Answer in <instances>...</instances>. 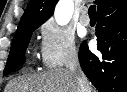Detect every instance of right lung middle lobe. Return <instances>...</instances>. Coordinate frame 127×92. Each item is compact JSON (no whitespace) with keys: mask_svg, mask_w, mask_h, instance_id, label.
I'll return each mask as SVG.
<instances>
[{"mask_svg":"<svg viewBox=\"0 0 127 92\" xmlns=\"http://www.w3.org/2000/svg\"><path fill=\"white\" fill-rule=\"evenodd\" d=\"M40 25L31 26L20 32L13 38L11 50L3 74L7 75L25 62V50L30 41L32 32Z\"/></svg>","mask_w":127,"mask_h":92,"instance_id":"obj_1","label":"right lung middle lobe"}]
</instances>
